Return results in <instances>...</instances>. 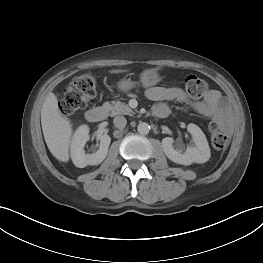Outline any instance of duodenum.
I'll return each mask as SVG.
<instances>
[{
    "instance_id": "1",
    "label": "duodenum",
    "mask_w": 263,
    "mask_h": 263,
    "mask_svg": "<svg viewBox=\"0 0 263 263\" xmlns=\"http://www.w3.org/2000/svg\"><path fill=\"white\" fill-rule=\"evenodd\" d=\"M160 118H165L169 115V110H161L155 114ZM107 116V109L105 107H92L85 113L86 119L91 123H99L103 121Z\"/></svg>"
}]
</instances>
